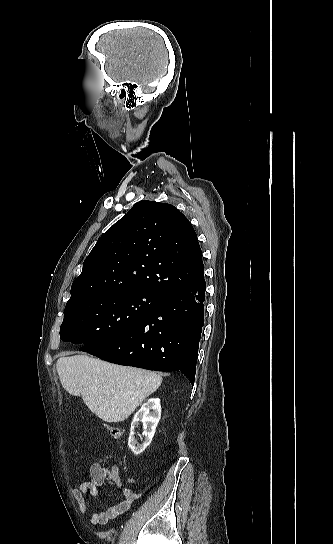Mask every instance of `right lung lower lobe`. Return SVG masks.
<instances>
[{
	"label": "right lung lower lobe",
	"mask_w": 333,
	"mask_h": 544,
	"mask_svg": "<svg viewBox=\"0 0 333 544\" xmlns=\"http://www.w3.org/2000/svg\"><path fill=\"white\" fill-rule=\"evenodd\" d=\"M206 283L171 292L134 327L90 346L103 360L155 371H179L194 383Z\"/></svg>",
	"instance_id": "right-lung-lower-lobe-1"
}]
</instances>
